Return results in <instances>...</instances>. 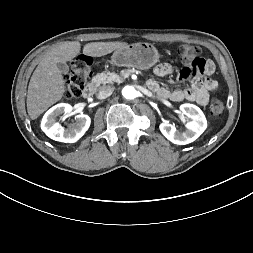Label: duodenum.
<instances>
[{
    "label": "duodenum",
    "mask_w": 253,
    "mask_h": 253,
    "mask_svg": "<svg viewBox=\"0 0 253 253\" xmlns=\"http://www.w3.org/2000/svg\"><path fill=\"white\" fill-rule=\"evenodd\" d=\"M97 86H98L97 81H93V82L89 83L83 91L84 98L89 99V98L93 97L96 92Z\"/></svg>",
    "instance_id": "duodenum-1"
}]
</instances>
